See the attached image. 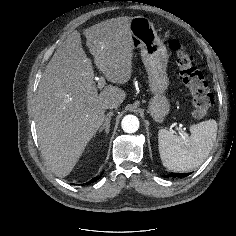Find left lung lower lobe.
Wrapping results in <instances>:
<instances>
[{
  "label": "left lung lower lobe",
  "instance_id": "left-lung-lower-lobe-1",
  "mask_svg": "<svg viewBox=\"0 0 236 236\" xmlns=\"http://www.w3.org/2000/svg\"><path fill=\"white\" fill-rule=\"evenodd\" d=\"M190 173H170L164 177H185L188 176Z\"/></svg>",
  "mask_w": 236,
  "mask_h": 236
}]
</instances>
